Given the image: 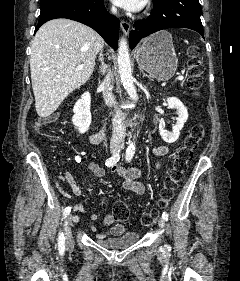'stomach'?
Instances as JSON below:
<instances>
[{"label": "stomach", "mask_w": 240, "mask_h": 281, "mask_svg": "<svg viewBox=\"0 0 240 281\" xmlns=\"http://www.w3.org/2000/svg\"><path fill=\"white\" fill-rule=\"evenodd\" d=\"M135 56L141 69L161 81L169 80L177 69L178 59L172 36L167 31H160L148 37L136 49Z\"/></svg>", "instance_id": "stomach-1"}]
</instances>
